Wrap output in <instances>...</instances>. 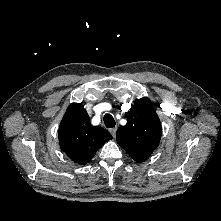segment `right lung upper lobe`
I'll list each match as a JSON object with an SVG mask.
<instances>
[{"label":"right lung upper lobe","instance_id":"obj_1","mask_svg":"<svg viewBox=\"0 0 221 221\" xmlns=\"http://www.w3.org/2000/svg\"><path fill=\"white\" fill-rule=\"evenodd\" d=\"M112 139L111 134L101 128L94 127L81 104L72 103L59 127V143L61 149L74 162L88 163L97 150Z\"/></svg>","mask_w":221,"mask_h":221}]
</instances>
